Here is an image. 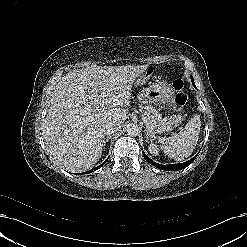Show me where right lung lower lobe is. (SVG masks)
I'll return each mask as SVG.
<instances>
[{
  "instance_id": "obj_1",
  "label": "right lung lower lobe",
  "mask_w": 247,
  "mask_h": 247,
  "mask_svg": "<svg viewBox=\"0 0 247 247\" xmlns=\"http://www.w3.org/2000/svg\"><path fill=\"white\" fill-rule=\"evenodd\" d=\"M105 162H106V161H105ZM105 162H103V163L101 164V166H102ZM99 167H100V166H99ZM99 167L93 168L91 171H87L86 173H90V172H92L93 170H97Z\"/></svg>"
}]
</instances>
